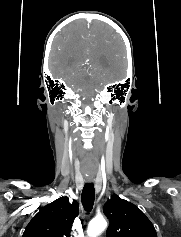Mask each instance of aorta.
Instances as JSON below:
<instances>
[{
    "mask_svg": "<svg viewBox=\"0 0 181 237\" xmlns=\"http://www.w3.org/2000/svg\"><path fill=\"white\" fill-rule=\"evenodd\" d=\"M107 227V222L104 217H95L91 220L87 228L88 237L99 236Z\"/></svg>",
    "mask_w": 181,
    "mask_h": 237,
    "instance_id": "obj_1",
    "label": "aorta"
}]
</instances>
